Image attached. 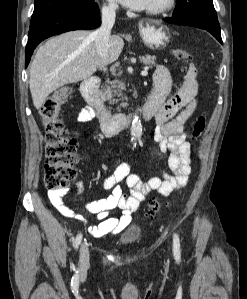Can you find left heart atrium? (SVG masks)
Masks as SVG:
<instances>
[{"mask_svg": "<svg viewBox=\"0 0 247 299\" xmlns=\"http://www.w3.org/2000/svg\"><path fill=\"white\" fill-rule=\"evenodd\" d=\"M116 1L132 9H144L149 6L152 0H116Z\"/></svg>", "mask_w": 247, "mask_h": 299, "instance_id": "obj_1", "label": "left heart atrium"}]
</instances>
